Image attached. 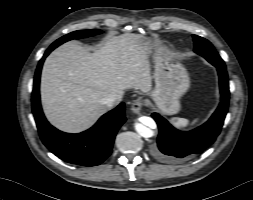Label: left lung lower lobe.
<instances>
[{
  "instance_id": "obj_1",
  "label": "left lung lower lobe",
  "mask_w": 253,
  "mask_h": 200,
  "mask_svg": "<svg viewBox=\"0 0 253 200\" xmlns=\"http://www.w3.org/2000/svg\"><path fill=\"white\" fill-rule=\"evenodd\" d=\"M214 66L219 75L221 103L206 123L191 131H179L158 113L152 114L159 128L157 143L152 148V154L157 159L169 163L182 162L201 153L219 135L228 110L230 92L226 67Z\"/></svg>"
}]
</instances>
